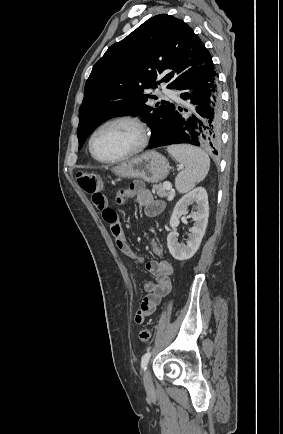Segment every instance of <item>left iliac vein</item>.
I'll return each mask as SVG.
<instances>
[{
    "mask_svg": "<svg viewBox=\"0 0 283 434\" xmlns=\"http://www.w3.org/2000/svg\"><path fill=\"white\" fill-rule=\"evenodd\" d=\"M144 387L148 393H152L154 390L152 378L149 369L145 370L143 377Z\"/></svg>",
    "mask_w": 283,
    "mask_h": 434,
    "instance_id": "4c4485c4",
    "label": "left iliac vein"
}]
</instances>
